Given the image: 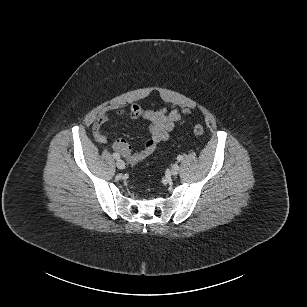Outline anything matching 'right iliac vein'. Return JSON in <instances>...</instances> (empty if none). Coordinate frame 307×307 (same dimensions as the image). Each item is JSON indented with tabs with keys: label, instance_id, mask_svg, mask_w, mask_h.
<instances>
[{
	"label": "right iliac vein",
	"instance_id": "63e3f726",
	"mask_svg": "<svg viewBox=\"0 0 307 307\" xmlns=\"http://www.w3.org/2000/svg\"><path fill=\"white\" fill-rule=\"evenodd\" d=\"M116 166H117V168H119V169H124V168H125V162H124L123 160H121V159H118V160L116 161Z\"/></svg>",
	"mask_w": 307,
	"mask_h": 307
}]
</instances>
